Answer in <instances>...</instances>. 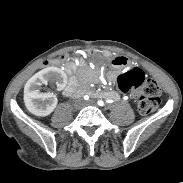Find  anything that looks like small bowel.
Masks as SVG:
<instances>
[{"label":"small bowel","instance_id":"c3829d8e","mask_svg":"<svg viewBox=\"0 0 183 183\" xmlns=\"http://www.w3.org/2000/svg\"><path fill=\"white\" fill-rule=\"evenodd\" d=\"M115 95L114 92H97L95 96L103 98H112Z\"/></svg>","mask_w":183,"mask_h":183}]
</instances>
